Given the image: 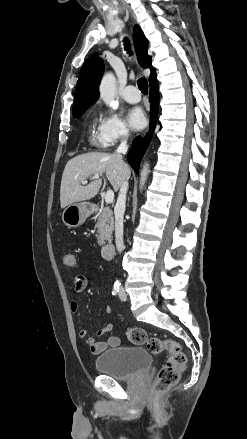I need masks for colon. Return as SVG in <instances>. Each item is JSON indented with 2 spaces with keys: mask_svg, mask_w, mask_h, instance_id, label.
I'll return each instance as SVG.
<instances>
[{
  "mask_svg": "<svg viewBox=\"0 0 247 439\" xmlns=\"http://www.w3.org/2000/svg\"><path fill=\"white\" fill-rule=\"evenodd\" d=\"M63 263L67 267H75L77 265L76 256L70 252L65 253ZM127 338L135 345H146L153 354L167 352L166 362L159 370L152 386L154 394H161L177 384L187 367L186 354L178 343L173 340L149 337L146 331L139 327L128 329Z\"/></svg>",
  "mask_w": 247,
  "mask_h": 439,
  "instance_id": "colon-1",
  "label": "colon"
}]
</instances>
